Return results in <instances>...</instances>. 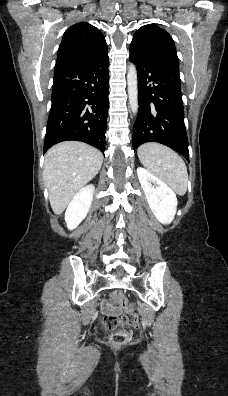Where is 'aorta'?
<instances>
[{"label": "aorta", "instance_id": "obj_1", "mask_svg": "<svg viewBox=\"0 0 228 396\" xmlns=\"http://www.w3.org/2000/svg\"><path fill=\"white\" fill-rule=\"evenodd\" d=\"M127 85H128V95L129 104L133 115H137L139 105H138V77L137 70L134 64H130L127 73Z\"/></svg>", "mask_w": 228, "mask_h": 396}]
</instances>
